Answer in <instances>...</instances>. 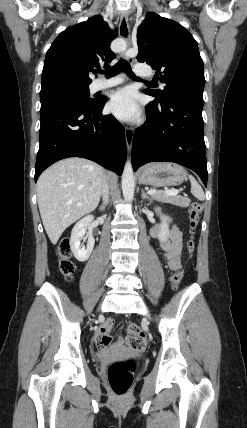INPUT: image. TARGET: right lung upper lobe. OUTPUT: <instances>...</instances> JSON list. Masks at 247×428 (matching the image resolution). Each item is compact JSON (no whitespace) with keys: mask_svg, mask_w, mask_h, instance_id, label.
I'll return each mask as SVG.
<instances>
[{"mask_svg":"<svg viewBox=\"0 0 247 428\" xmlns=\"http://www.w3.org/2000/svg\"><path fill=\"white\" fill-rule=\"evenodd\" d=\"M109 25L100 17L72 26L58 35L46 53L40 93L67 86L88 87L93 68H107L116 55Z\"/></svg>","mask_w":247,"mask_h":428,"instance_id":"1","label":"right lung upper lobe"}]
</instances>
